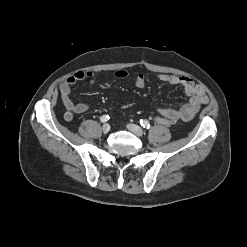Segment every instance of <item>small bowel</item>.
Masks as SVG:
<instances>
[{"mask_svg": "<svg viewBox=\"0 0 247 247\" xmlns=\"http://www.w3.org/2000/svg\"><path fill=\"white\" fill-rule=\"evenodd\" d=\"M127 70L121 69L114 73V76L119 79L128 77ZM95 74L90 71H77L66 77L59 85V92L63 106L65 108L64 118L66 121H71L76 114H82L90 109L87 103H74L71 99V87L78 81L88 79L91 84L94 83ZM158 79L164 83L177 85L183 88L189 100L182 104L178 109H172L164 106H156V112L163 117L172 119L173 121H189L199 111L202 105L208 102V97L204 88L197 85L193 79L182 75L159 74ZM146 84V77L143 74H138L134 79V85L137 88H143ZM131 105H125L123 108H128Z\"/></svg>", "mask_w": 247, "mask_h": 247, "instance_id": "1", "label": "small bowel"}]
</instances>
